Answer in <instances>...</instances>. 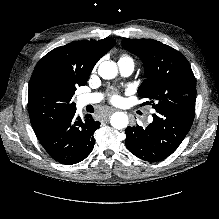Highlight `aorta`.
<instances>
[{
	"label": "aorta",
	"mask_w": 219,
	"mask_h": 219,
	"mask_svg": "<svg viewBox=\"0 0 219 219\" xmlns=\"http://www.w3.org/2000/svg\"><path fill=\"white\" fill-rule=\"evenodd\" d=\"M118 73V68L113 61H104L99 65L98 74L106 80L113 79ZM128 116L124 112H115L110 118L111 126L115 129L122 130L128 126Z\"/></svg>",
	"instance_id": "obj_1"
}]
</instances>
